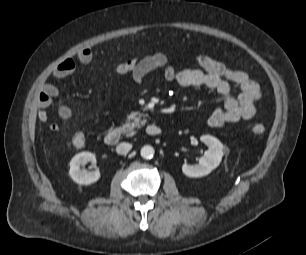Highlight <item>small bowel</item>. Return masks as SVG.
Segmentation results:
<instances>
[{
    "label": "small bowel",
    "mask_w": 306,
    "mask_h": 255,
    "mask_svg": "<svg viewBox=\"0 0 306 255\" xmlns=\"http://www.w3.org/2000/svg\"><path fill=\"white\" fill-rule=\"evenodd\" d=\"M76 58L80 63L86 64L92 60L93 53L90 49L84 48L77 53ZM197 63L199 68L179 69L169 64L166 54L155 52L135 60L129 73L136 83L141 84L147 79L156 80L157 78L152 74L157 70H162L161 77L166 82H173L181 87H205L216 91L222 96L223 102L207 119V124L212 128H220L254 117L256 103L261 97L260 86L255 80L251 79L246 72L231 69L204 53L197 56ZM74 69V59L68 58L52 71L51 76L61 79L70 75ZM232 85L239 88L237 96L232 94ZM57 95L58 89L53 83L45 81L41 84L37 98L40 121L48 120L47 109ZM58 115L63 120H69L72 111L68 106L61 105L58 108ZM49 129L57 132L60 127L51 123Z\"/></svg>",
    "instance_id": "obj_1"
}]
</instances>
